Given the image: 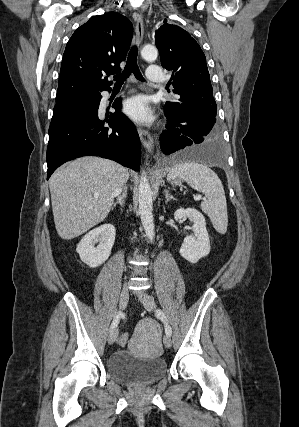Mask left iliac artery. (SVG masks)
Instances as JSON below:
<instances>
[{"label":"left iliac artery","instance_id":"1","mask_svg":"<svg viewBox=\"0 0 299 427\" xmlns=\"http://www.w3.org/2000/svg\"><path fill=\"white\" fill-rule=\"evenodd\" d=\"M156 316L164 323L166 335L171 336L172 330H171V327L169 326V324L167 322V318H166L164 312L162 310L158 309L156 311Z\"/></svg>","mask_w":299,"mask_h":427}]
</instances>
